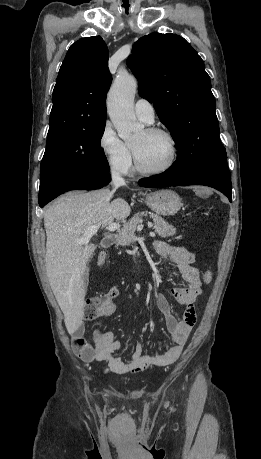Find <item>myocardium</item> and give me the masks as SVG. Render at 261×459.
<instances>
[{
	"mask_svg": "<svg viewBox=\"0 0 261 459\" xmlns=\"http://www.w3.org/2000/svg\"><path fill=\"white\" fill-rule=\"evenodd\" d=\"M145 132L148 134H156V135L164 136L169 141V144H170V157L167 163L164 164L163 166L159 168H155V169H147L140 165L137 159V156L131 147L133 158H134L135 169L139 174L145 175V176L163 174L167 172L168 170H170L174 166L177 160L178 147H177L176 139L171 132H169L166 129L159 128V127H148L145 129Z\"/></svg>",
	"mask_w": 261,
	"mask_h": 459,
	"instance_id": "obj_1",
	"label": "myocardium"
}]
</instances>
